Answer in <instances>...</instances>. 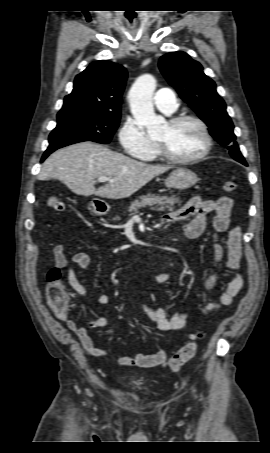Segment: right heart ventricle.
<instances>
[{
  "label": "right heart ventricle",
  "mask_w": 270,
  "mask_h": 453,
  "mask_svg": "<svg viewBox=\"0 0 270 453\" xmlns=\"http://www.w3.org/2000/svg\"><path fill=\"white\" fill-rule=\"evenodd\" d=\"M158 157H159V151H158L157 145H155V148L153 149V151L149 155L145 156L143 158V160L153 161V160H156Z\"/></svg>",
  "instance_id": "e07e8e85"
}]
</instances>
